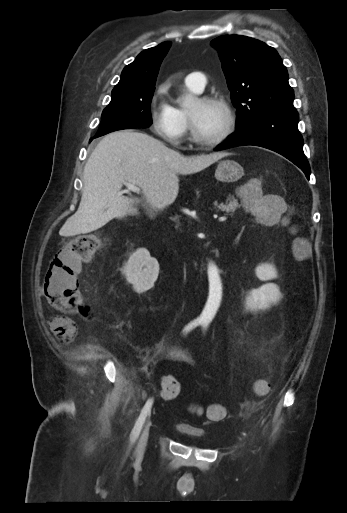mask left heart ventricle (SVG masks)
I'll use <instances>...</instances> for the list:
<instances>
[{"label":"left heart ventricle","instance_id":"1","mask_svg":"<svg viewBox=\"0 0 347 513\" xmlns=\"http://www.w3.org/2000/svg\"><path fill=\"white\" fill-rule=\"evenodd\" d=\"M188 114L197 133L204 139L217 137L225 128V112L216 104L195 101L189 108Z\"/></svg>","mask_w":347,"mask_h":513}]
</instances>
